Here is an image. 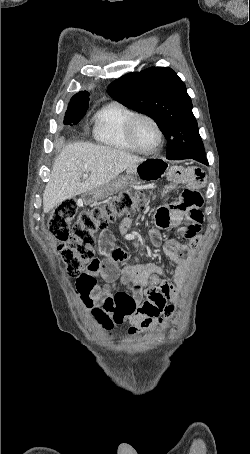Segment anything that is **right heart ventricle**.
Listing matches in <instances>:
<instances>
[{
  "mask_svg": "<svg viewBox=\"0 0 250 454\" xmlns=\"http://www.w3.org/2000/svg\"><path fill=\"white\" fill-rule=\"evenodd\" d=\"M135 114L132 109L117 101L103 106L93 118L95 140L115 150L138 152L127 138V124Z\"/></svg>",
  "mask_w": 250,
  "mask_h": 454,
  "instance_id": "1",
  "label": "right heart ventricle"
}]
</instances>
